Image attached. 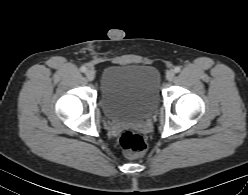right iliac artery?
I'll return each instance as SVG.
<instances>
[{
    "label": "right iliac artery",
    "instance_id": "1",
    "mask_svg": "<svg viewBox=\"0 0 248 195\" xmlns=\"http://www.w3.org/2000/svg\"><path fill=\"white\" fill-rule=\"evenodd\" d=\"M80 70H81V72H86V71H87V68H86L85 66H82V67L80 68Z\"/></svg>",
    "mask_w": 248,
    "mask_h": 195
}]
</instances>
